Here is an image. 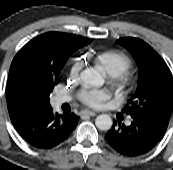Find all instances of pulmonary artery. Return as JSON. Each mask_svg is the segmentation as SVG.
Wrapping results in <instances>:
<instances>
[{
    "instance_id": "e3ab8cb5",
    "label": "pulmonary artery",
    "mask_w": 173,
    "mask_h": 170,
    "mask_svg": "<svg viewBox=\"0 0 173 170\" xmlns=\"http://www.w3.org/2000/svg\"><path fill=\"white\" fill-rule=\"evenodd\" d=\"M108 72H109V74H114L113 70L110 69V68H108ZM59 99H60V102H67V101H69L71 98H70V96H68V95H62V96H60Z\"/></svg>"
}]
</instances>
